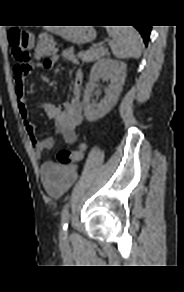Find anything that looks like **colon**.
Returning <instances> with one entry per match:
<instances>
[{
  "mask_svg": "<svg viewBox=\"0 0 184 292\" xmlns=\"http://www.w3.org/2000/svg\"><path fill=\"white\" fill-rule=\"evenodd\" d=\"M9 43L11 53L16 61V68L19 72L29 70L28 48L32 43V36L18 28H12L9 31ZM56 45L49 35H42L36 43V54L39 57H49L54 54ZM85 145H80L76 150L63 149L58 152L57 158L61 165H69L80 161L84 156Z\"/></svg>",
  "mask_w": 184,
  "mask_h": 292,
  "instance_id": "obj_1",
  "label": "colon"
}]
</instances>
